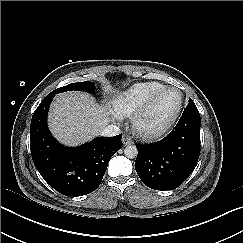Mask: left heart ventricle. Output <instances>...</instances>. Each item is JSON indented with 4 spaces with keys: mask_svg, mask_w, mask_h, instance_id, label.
<instances>
[{
    "mask_svg": "<svg viewBox=\"0 0 243 243\" xmlns=\"http://www.w3.org/2000/svg\"><path fill=\"white\" fill-rule=\"evenodd\" d=\"M180 102V94L176 90L164 92L143 118L144 128H155L168 121L176 112Z\"/></svg>",
    "mask_w": 243,
    "mask_h": 243,
    "instance_id": "b2bd125f",
    "label": "left heart ventricle"
}]
</instances>
